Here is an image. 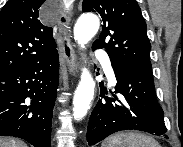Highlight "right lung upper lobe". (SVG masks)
Instances as JSON below:
<instances>
[{
	"instance_id": "right-lung-upper-lobe-1",
	"label": "right lung upper lobe",
	"mask_w": 183,
	"mask_h": 147,
	"mask_svg": "<svg viewBox=\"0 0 183 147\" xmlns=\"http://www.w3.org/2000/svg\"><path fill=\"white\" fill-rule=\"evenodd\" d=\"M43 0H9L0 11V76L57 52L53 29L39 20Z\"/></svg>"
}]
</instances>
